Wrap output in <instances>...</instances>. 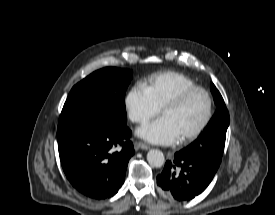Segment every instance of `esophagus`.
<instances>
[{
    "label": "esophagus",
    "instance_id": "obj_1",
    "mask_svg": "<svg viewBox=\"0 0 275 215\" xmlns=\"http://www.w3.org/2000/svg\"><path fill=\"white\" fill-rule=\"evenodd\" d=\"M136 145H137L140 149H142V150H148V149H150V146H149V145H147L146 143L141 142V141L136 142Z\"/></svg>",
    "mask_w": 275,
    "mask_h": 215
}]
</instances>
